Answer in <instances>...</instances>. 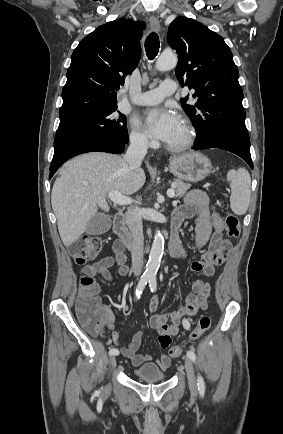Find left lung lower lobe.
Wrapping results in <instances>:
<instances>
[{
    "label": "left lung lower lobe",
    "instance_id": "left-lung-lower-lobe-1",
    "mask_svg": "<svg viewBox=\"0 0 283 434\" xmlns=\"http://www.w3.org/2000/svg\"><path fill=\"white\" fill-rule=\"evenodd\" d=\"M207 148H219L222 150H226L229 152H232L238 156H240L242 159H244L248 165L253 169V163L251 159L250 149H246L237 145H231V144H216V145H209V146H201L196 145L195 150H201V149H207Z\"/></svg>",
    "mask_w": 283,
    "mask_h": 434
}]
</instances>
